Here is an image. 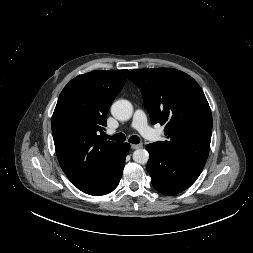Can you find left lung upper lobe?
I'll list each match as a JSON object with an SVG mask.
<instances>
[{
	"label": "left lung upper lobe",
	"mask_w": 253,
	"mask_h": 253,
	"mask_svg": "<svg viewBox=\"0 0 253 253\" xmlns=\"http://www.w3.org/2000/svg\"><path fill=\"white\" fill-rule=\"evenodd\" d=\"M152 124H165L167 140L156 142L169 155L204 168L210 149L212 114L198 83L177 69L132 70Z\"/></svg>",
	"instance_id": "5c2ea615"
}]
</instances>
